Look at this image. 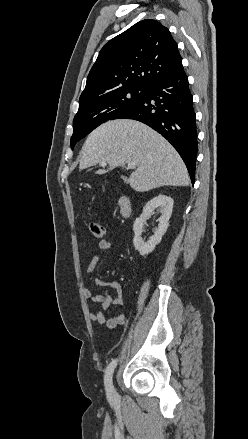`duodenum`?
Returning a JSON list of instances; mask_svg holds the SVG:
<instances>
[{
	"label": "duodenum",
	"mask_w": 248,
	"mask_h": 439,
	"mask_svg": "<svg viewBox=\"0 0 248 439\" xmlns=\"http://www.w3.org/2000/svg\"><path fill=\"white\" fill-rule=\"evenodd\" d=\"M117 206L124 218H128L131 215V200L129 196L121 195L117 200Z\"/></svg>",
	"instance_id": "obj_1"
}]
</instances>
